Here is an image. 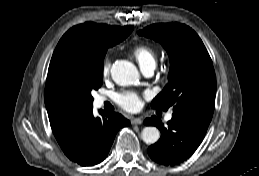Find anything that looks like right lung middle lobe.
I'll use <instances>...</instances> for the list:
<instances>
[{
  "label": "right lung middle lobe",
  "instance_id": "obj_1",
  "mask_svg": "<svg viewBox=\"0 0 259 176\" xmlns=\"http://www.w3.org/2000/svg\"><path fill=\"white\" fill-rule=\"evenodd\" d=\"M117 43L118 41L89 43L78 36L71 40L65 49V64L91 104V92L102 85L103 61L107 49Z\"/></svg>",
  "mask_w": 259,
  "mask_h": 176
}]
</instances>
